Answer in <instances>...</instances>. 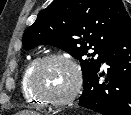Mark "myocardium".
I'll return each instance as SVG.
<instances>
[{
    "label": "myocardium",
    "mask_w": 131,
    "mask_h": 115,
    "mask_svg": "<svg viewBox=\"0 0 131 115\" xmlns=\"http://www.w3.org/2000/svg\"><path fill=\"white\" fill-rule=\"evenodd\" d=\"M53 60H61L66 62L74 72V85L71 91L62 98H51L42 93L36 85V79L41 68L48 62ZM82 87V72L77 62L70 56L62 53L48 54L40 58L31 70L29 76V88L32 94L37 97L43 104L53 107H62L72 102L79 94Z\"/></svg>",
    "instance_id": "f54148a6"
}]
</instances>
